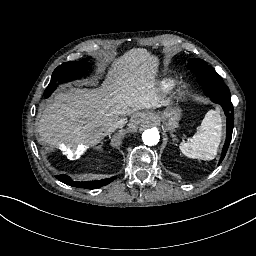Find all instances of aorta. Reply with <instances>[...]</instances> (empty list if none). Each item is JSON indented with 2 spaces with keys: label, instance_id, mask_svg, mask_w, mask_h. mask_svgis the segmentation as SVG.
I'll use <instances>...</instances> for the list:
<instances>
[{
  "label": "aorta",
  "instance_id": "obj_1",
  "mask_svg": "<svg viewBox=\"0 0 256 256\" xmlns=\"http://www.w3.org/2000/svg\"><path fill=\"white\" fill-rule=\"evenodd\" d=\"M142 140L145 145L153 146L158 144L160 140V134L159 131L155 128L146 129L142 133Z\"/></svg>",
  "mask_w": 256,
  "mask_h": 256
}]
</instances>
